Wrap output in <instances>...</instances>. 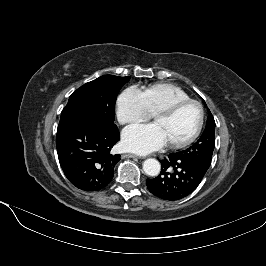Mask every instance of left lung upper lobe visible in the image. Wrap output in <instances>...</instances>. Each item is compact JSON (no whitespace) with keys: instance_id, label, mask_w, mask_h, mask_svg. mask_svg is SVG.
I'll use <instances>...</instances> for the list:
<instances>
[{"instance_id":"1","label":"left lung upper lobe","mask_w":266,"mask_h":266,"mask_svg":"<svg viewBox=\"0 0 266 266\" xmlns=\"http://www.w3.org/2000/svg\"><path fill=\"white\" fill-rule=\"evenodd\" d=\"M215 121L211 113L208 115L207 124L201 137L189 148L177 152L178 155L206 172L211 164L215 147Z\"/></svg>"}]
</instances>
